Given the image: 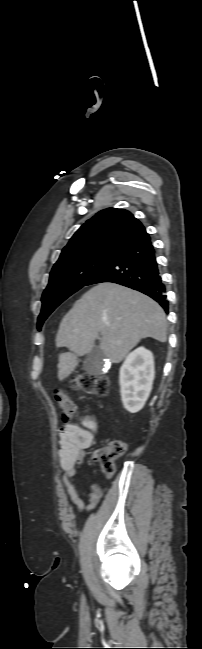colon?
I'll use <instances>...</instances> for the list:
<instances>
[{
	"label": "colon",
	"mask_w": 202,
	"mask_h": 649,
	"mask_svg": "<svg viewBox=\"0 0 202 649\" xmlns=\"http://www.w3.org/2000/svg\"><path fill=\"white\" fill-rule=\"evenodd\" d=\"M71 386L88 394L106 395L109 388V381L102 376L81 374L75 377ZM55 400L59 404L65 417H72L76 406L66 390H57L54 393ZM127 446L121 440H112L93 452L92 458L98 463L103 473L110 477L115 473V461L126 451Z\"/></svg>",
	"instance_id": "5ec220e1"
}]
</instances>
